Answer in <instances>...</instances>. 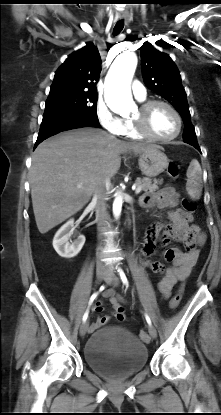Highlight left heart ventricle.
<instances>
[{
	"instance_id": "1",
	"label": "left heart ventricle",
	"mask_w": 221,
	"mask_h": 415,
	"mask_svg": "<svg viewBox=\"0 0 221 415\" xmlns=\"http://www.w3.org/2000/svg\"><path fill=\"white\" fill-rule=\"evenodd\" d=\"M139 115V109L134 117ZM147 126L157 136L168 137L175 133L177 121L173 113L163 105H155L148 113Z\"/></svg>"
}]
</instances>
